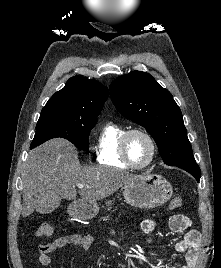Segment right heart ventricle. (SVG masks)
<instances>
[{"instance_id": "e07e8e85", "label": "right heart ventricle", "mask_w": 221, "mask_h": 268, "mask_svg": "<svg viewBox=\"0 0 221 268\" xmlns=\"http://www.w3.org/2000/svg\"><path fill=\"white\" fill-rule=\"evenodd\" d=\"M126 131L124 126L114 122H108L103 126L96 145L98 163L120 169L128 168L120 155V140Z\"/></svg>"}]
</instances>
